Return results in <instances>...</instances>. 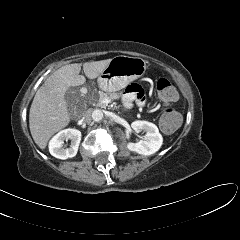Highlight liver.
<instances>
[{"label":"liver","instance_id":"obj_1","mask_svg":"<svg viewBox=\"0 0 240 240\" xmlns=\"http://www.w3.org/2000/svg\"><path fill=\"white\" fill-rule=\"evenodd\" d=\"M111 59L65 65L51 74L36 92L29 112V127L33 140L45 149L49 139L70 122L65 94L70 87L80 86L86 79L97 78Z\"/></svg>","mask_w":240,"mask_h":240}]
</instances>
